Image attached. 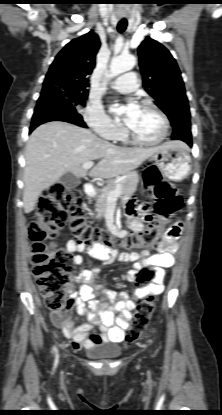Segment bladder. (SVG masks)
Masks as SVG:
<instances>
[{"label":"bladder","instance_id":"31cf9c89","mask_svg":"<svg viewBox=\"0 0 222 415\" xmlns=\"http://www.w3.org/2000/svg\"><path fill=\"white\" fill-rule=\"evenodd\" d=\"M86 354L94 359H114L122 355V349L117 345H102L89 348Z\"/></svg>","mask_w":222,"mask_h":415}]
</instances>
